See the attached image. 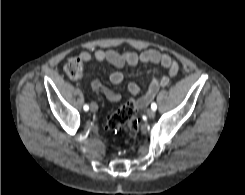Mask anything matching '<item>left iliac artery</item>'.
<instances>
[{
  "label": "left iliac artery",
  "mask_w": 245,
  "mask_h": 195,
  "mask_svg": "<svg viewBox=\"0 0 245 195\" xmlns=\"http://www.w3.org/2000/svg\"><path fill=\"white\" fill-rule=\"evenodd\" d=\"M151 109L154 110V111L157 109V105H156L155 102H153V103L151 104Z\"/></svg>",
  "instance_id": "44dca946"
}]
</instances>
